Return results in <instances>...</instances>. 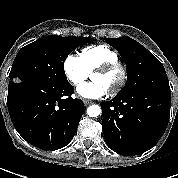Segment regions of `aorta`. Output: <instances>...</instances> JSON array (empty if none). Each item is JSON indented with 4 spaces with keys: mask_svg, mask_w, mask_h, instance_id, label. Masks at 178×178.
Masks as SVG:
<instances>
[{
    "mask_svg": "<svg viewBox=\"0 0 178 178\" xmlns=\"http://www.w3.org/2000/svg\"><path fill=\"white\" fill-rule=\"evenodd\" d=\"M89 117H97L101 114V108L98 105H91L87 108Z\"/></svg>",
    "mask_w": 178,
    "mask_h": 178,
    "instance_id": "aorta-1",
    "label": "aorta"
}]
</instances>
